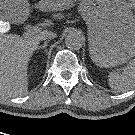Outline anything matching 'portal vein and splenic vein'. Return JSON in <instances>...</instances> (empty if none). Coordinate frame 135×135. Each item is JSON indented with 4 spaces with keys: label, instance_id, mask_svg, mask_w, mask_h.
<instances>
[{
    "label": "portal vein and splenic vein",
    "instance_id": "portal-vein-and-splenic-vein-1",
    "mask_svg": "<svg viewBox=\"0 0 135 135\" xmlns=\"http://www.w3.org/2000/svg\"><path fill=\"white\" fill-rule=\"evenodd\" d=\"M39 31H40V28L37 26L28 27L26 32H25V35L29 36L31 34L38 33Z\"/></svg>",
    "mask_w": 135,
    "mask_h": 135
}]
</instances>
